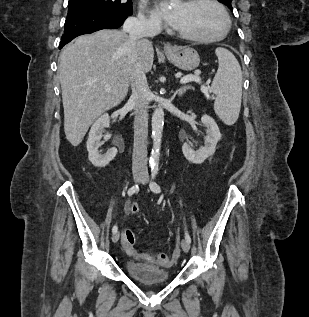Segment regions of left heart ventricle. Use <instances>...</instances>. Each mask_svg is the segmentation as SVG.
Returning <instances> with one entry per match:
<instances>
[{"mask_svg":"<svg viewBox=\"0 0 309 317\" xmlns=\"http://www.w3.org/2000/svg\"><path fill=\"white\" fill-rule=\"evenodd\" d=\"M178 13L176 30L185 34L211 37L223 28V18L218 9L209 3L181 2L175 6Z\"/></svg>","mask_w":309,"mask_h":317,"instance_id":"b2bd125f","label":"left heart ventricle"}]
</instances>
